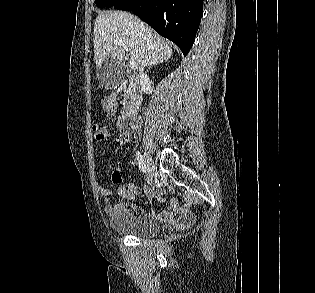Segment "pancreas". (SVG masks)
<instances>
[{
  "mask_svg": "<svg viewBox=\"0 0 315 293\" xmlns=\"http://www.w3.org/2000/svg\"><path fill=\"white\" fill-rule=\"evenodd\" d=\"M124 98L126 102L124 104L123 113L128 112L140 101L137 87L133 83L128 84V87L124 91Z\"/></svg>",
  "mask_w": 315,
  "mask_h": 293,
  "instance_id": "cf45deb5",
  "label": "pancreas"
}]
</instances>
